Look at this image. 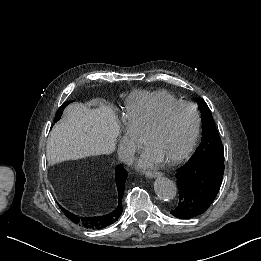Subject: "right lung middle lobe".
<instances>
[{"mask_svg": "<svg viewBox=\"0 0 261 261\" xmlns=\"http://www.w3.org/2000/svg\"><path fill=\"white\" fill-rule=\"evenodd\" d=\"M69 103H71V101H66V102H64V103L61 105V107H60V108L58 109V111H57V114L55 115L54 122H56V121H58V120L60 119L64 108H65Z\"/></svg>", "mask_w": 261, "mask_h": 261, "instance_id": "1", "label": "right lung middle lobe"}]
</instances>
